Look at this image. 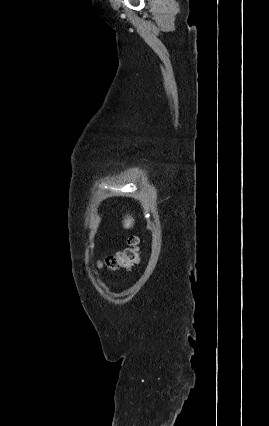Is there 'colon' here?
I'll use <instances>...</instances> for the list:
<instances>
[{
  "mask_svg": "<svg viewBox=\"0 0 269 426\" xmlns=\"http://www.w3.org/2000/svg\"><path fill=\"white\" fill-rule=\"evenodd\" d=\"M138 262V240L135 237H131L128 240V246L124 250L117 252L115 255L107 257L102 265L112 272H118L120 270L130 269Z\"/></svg>",
  "mask_w": 269,
  "mask_h": 426,
  "instance_id": "5ec220e1",
  "label": "colon"
}]
</instances>
